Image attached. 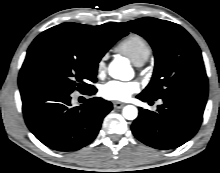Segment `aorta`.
Returning a JSON list of instances; mask_svg holds the SVG:
<instances>
[{
  "label": "aorta",
  "mask_w": 220,
  "mask_h": 173,
  "mask_svg": "<svg viewBox=\"0 0 220 173\" xmlns=\"http://www.w3.org/2000/svg\"><path fill=\"white\" fill-rule=\"evenodd\" d=\"M109 74L114 79L129 80L132 75V70L128 63L123 59H115L109 65ZM122 114L127 120H134L138 116V110L133 105H127L123 108Z\"/></svg>",
  "instance_id": "obj_1"
}]
</instances>
